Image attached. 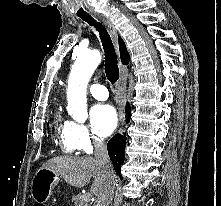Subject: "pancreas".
Segmentation results:
<instances>
[{"instance_id":"cf45deb5","label":"pancreas","mask_w":221,"mask_h":206,"mask_svg":"<svg viewBox=\"0 0 221 206\" xmlns=\"http://www.w3.org/2000/svg\"><path fill=\"white\" fill-rule=\"evenodd\" d=\"M86 195L78 194L72 198L75 206H89V200L85 198Z\"/></svg>"}]
</instances>
